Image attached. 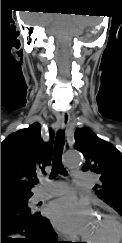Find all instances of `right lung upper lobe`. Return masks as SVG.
Instances as JSON below:
<instances>
[{
  "mask_svg": "<svg viewBox=\"0 0 122 243\" xmlns=\"http://www.w3.org/2000/svg\"><path fill=\"white\" fill-rule=\"evenodd\" d=\"M41 126L34 123L10 134L1 143V201L31 197L38 169L51 163L54 134L50 142L41 138Z\"/></svg>",
  "mask_w": 122,
  "mask_h": 243,
  "instance_id": "right-lung-upper-lobe-1",
  "label": "right lung upper lobe"
}]
</instances>
